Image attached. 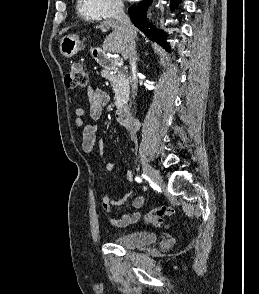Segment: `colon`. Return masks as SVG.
Segmentation results:
<instances>
[{
  "mask_svg": "<svg viewBox=\"0 0 259 294\" xmlns=\"http://www.w3.org/2000/svg\"><path fill=\"white\" fill-rule=\"evenodd\" d=\"M88 82L84 65L80 61H73L69 66V71L65 75V84L68 88H79L86 86ZM174 214V209L170 206H159L151 209L145 215V222L154 227L164 224L163 218Z\"/></svg>",
  "mask_w": 259,
  "mask_h": 294,
  "instance_id": "5ec220e1",
  "label": "colon"
}]
</instances>
